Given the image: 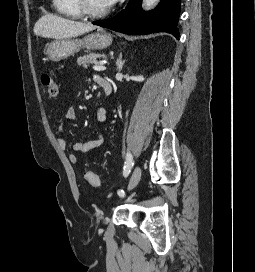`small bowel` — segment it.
I'll list each match as a JSON object with an SVG mask.
<instances>
[{"instance_id": "obj_1", "label": "small bowel", "mask_w": 255, "mask_h": 272, "mask_svg": "<svg viewBox=\"0 0 255 272\" xmlns=\"http://www.w3.org/2000/svg\"><path fill=\"white\" fill-rule=\"evenodd\" d=\"M101 76L95 75L94 80L97 82ZM77 117V112L74 107H69L66 111V114L63 120L60 122L57 130L55 131V136L57 137V141L59 146L62 149L67 148V143L64 139L61 138V135L67 124L75 121ZM97 120L101 123L107 120V112L104 108H99L97 111ZM104 143V138L101 133L95 132L94 137L92 139L78 141L72 145V152L68 154V159L72 163H76L78 161V156L81 154H85L91 150H94Z\"/></svg>"}]
</instances>
